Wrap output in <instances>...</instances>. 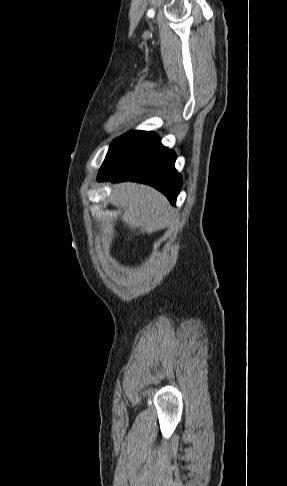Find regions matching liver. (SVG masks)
<instances>
[{"label": "liver", "mask_w": 287, "mask_h": 486, "mask_svg": "<svg viewBox=\"0 0 287 486\" xmlns=\"http://www.w3.org/2000/svg\"><path fill=\"white\" fill-rule=\"evenodd\" d=\"M110 202L124 209L122 221L131 230L152 233L163 227L169 217L168 200L154 188L138 183L123 182L113 186Z\"/></svg>", "instance_id": "1"}]
</instances>
